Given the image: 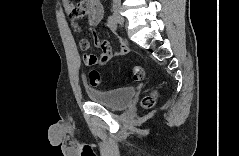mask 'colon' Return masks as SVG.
Returning a JSON list of instances; mask_svg holds the SVG:
<instances>
[{"mask_svg":"<svg viewBox=\"0 0 239 156\" xmlns=\"http://www.w3.org/2000/svg\"><path fill=\"white\" fill-rule=\"evenodd\" d=\"M81 14H78L80 16ZM131 78L134 81H141L144 78V70L141 66H134L131 69ZM89 83L92 86H97L100 84L101 78L100 74L96 70H91L88 75ZM157 100V94L155 92L150 93L149 95L145 96L142 100V106L145 108L152 107Z\"/></svg>","mask_w":239,"mask_h":156,"instance_id":"1","label":"colon"}]
</instances>
